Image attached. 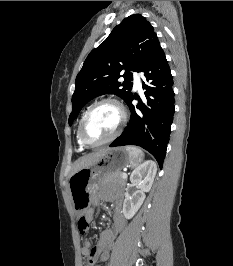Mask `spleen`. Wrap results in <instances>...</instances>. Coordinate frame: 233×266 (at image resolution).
<instances>
[{
  "mask_svg": "<svg viewBox=\"0 0 233 266\" xmlns=\"http://www.w3.org/2000/svg\"><path fill=\"white\" fill-rule=\"evenodd\" d=\"M126 149L129 152V154L132 156V160H133L132 166L136 167L137 165H139L144 158L143 151L134 146H127Z\"/></svg>",
  "mask_w": 233,
  "mask_h": 266,
  "instance_id": "obj_1",
  "label": "spleen"
}]
</instances>
